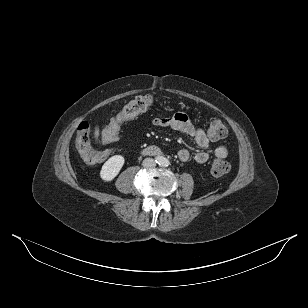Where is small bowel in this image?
Instances as JSON below:
<instances>
[{"label": "small bowel", "instance_id": "c3829d8e", "mask_svg": "<svg viewBox=\"0 0 308 308\" xmlns=\"http://www.w3.org/2000/svg\"><path fill=\"white\" fill-rule=\"evenodd\" d=\"M153 124L159 127H169L174 131L182 132L190 136L193 138L196 145L203 149L195 154V161L202 164L208 160L209 154L207 150L210 149V141L205 131L201 128L195 127L185 113L178 112L173 115L159 114L153 118ZM215 155L218 158H225L228 155L226 146H218L215 149ZM177 156L181 162H187L190 158V153L187 149H181Z\"/></svg>", "mask_w": 308, "mask_h": 308}]
</instances>
